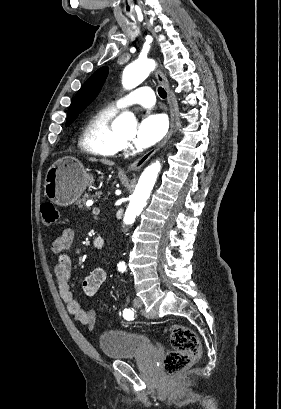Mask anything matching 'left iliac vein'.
Masks as SVG:
<instances>
[{
	"instance_id": "4c4485c4",
	"label": "left iliac vein",
	"mask_w": 281,
	"mask_h": 409,
	"mask_svg": "<svg viewBox=\"0 0 281 409\" xmlns=\"http://www.w3.org/2000/svg\"><path fill=\"white\" fill-rule=\"evenodd\" d=\"M133 305H134L135 308H140V307H142V306H143V302H142L141 298L135 297L134 300H133Z\"/></svg>"
}]
</instances>
